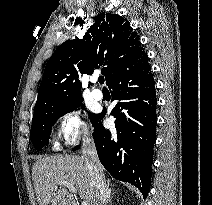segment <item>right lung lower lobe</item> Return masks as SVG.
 <instances>
[{"label":"right lung lower lobe","instance_id":"1","mask_svg":"<svg viewBox=\"0 0 212 205\" xmlns=\"http://www.w3.org/2000/svg\"><path fill=\"white\" fill-rule=\"evenodd\" d=\"M116 132L103 127L106 110L93 121L101 164L116 179L132 183L146 198L150 190L156 136V89L147 53L120 68L109 80ZM79 146L73 148L77 150Z\"/></svg>","mask_w":212,"mask_h":205}]
</instances>
